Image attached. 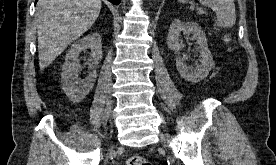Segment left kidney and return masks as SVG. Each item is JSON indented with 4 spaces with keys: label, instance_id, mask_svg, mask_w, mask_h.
Here are the masks:
<instances>
[{
    "label": "left kidney",
    "instance_id": "left-kidney-1",
    "mask_svg": "<svg viewBox=\"0 0 276 165\" xmlns=\"http://www.w3.org/2000/svg\"><path fill=\"white\" fill-rule=\"evenodd\" d=\"M181 32L192 34V38L196 40L198 44L196 50L199 53L200 64L193 68L192 66H188L184 62V59L178 56L176 58V67L184 79L192 83H197L205 79L215 65L208 48L207 38L198 23L182 22L180 19H173L167 37V45L177 53L184 47L183 42L179 40Z\"/></svg>",
    "mask_w": 276,
    "mask_h": 165
}]
</instances>
